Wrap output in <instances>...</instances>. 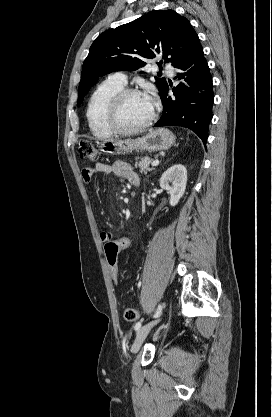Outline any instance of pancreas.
<instances>
[{"mask_svg":"<svg viewBox=\"0 0 272 417\" xmlns=\"http://www.w3.org/2000/svg\"><path fill=\"white\" fill-rule=\"evenodd\" d=\"M151 161L152 160L149 157H141L139 161L136 158L135 168H139L140 172L146 174L147 172H150L154 169L149 167Z\"/></svg>","mask_w":272,"mask_h":417,"instance_id":"1","label":"pancreas"}]
</instances>
